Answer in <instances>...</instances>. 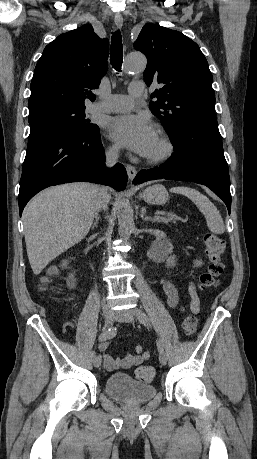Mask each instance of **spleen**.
<instances>
[{"mask_svg":"<svg viewBox=\"0 0 257 459\" xmlns=\"http://www.w3.org/2000/svg\"><path fill=\"white\" fill-rule=\"evenodd\" d=\"M172 192L187 196L205 216L207 226L214 234H223L225 226L223 219L216 206L198 190L193 188L179 186L172 189Z\"/></svg>","mask_w":257,"mask_h":459,"instance_id":"1","label":"spleen"}]
</instances>
